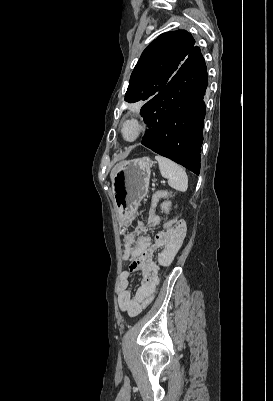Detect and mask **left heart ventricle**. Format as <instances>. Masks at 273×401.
Masks as SVG:
<instances>
[{
	"label": "left heart ventricle",
	"instance_id": "1",
	"mask_svg": "<svg viewBox=\"0 0 273 401\" xmlns=\"http://www.w3.org/2000/svg\"><path fill=\"white\" fill-rule=\"evenodd\" d=\"M135 135H136V128L131 124L125 125V127L123 129L124 138L127 140H130V139L134 138Z\"/></svg>",
	"mask_w": 273,
	"mask_h": 401
}]
</instances>
